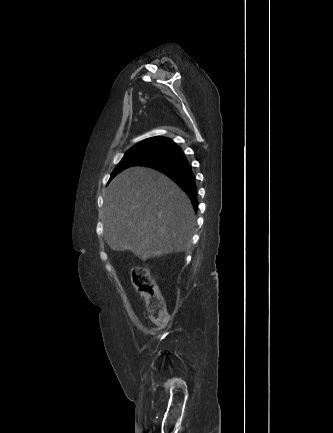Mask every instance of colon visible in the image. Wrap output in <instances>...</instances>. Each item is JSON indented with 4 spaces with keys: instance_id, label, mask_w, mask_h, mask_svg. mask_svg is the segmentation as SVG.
I'll use <instances>...</instances> for the list:
<instances>
[{
    "instance_id": "1",
    "label": "colon",
    "mask_w": 333,
    "mask_h": 433,
    "mask_svg": "<svg viewBox=\"0 0 333 433\" xmlns=\"http://www.w3.org/2000/svg\"><path fill=\"white\" fill-rule=\"evenodd\" d=\"M131 279L134 288L147 301L149 319L158 326H164L167 323V309L155 279L147 270L140 267L132 270Z\"/></svg>"
}]
</instances>
